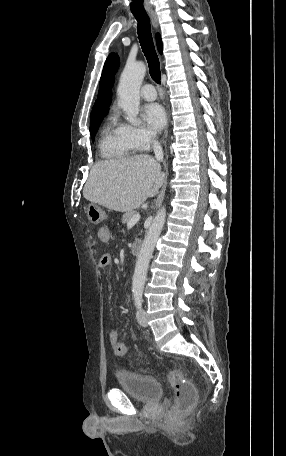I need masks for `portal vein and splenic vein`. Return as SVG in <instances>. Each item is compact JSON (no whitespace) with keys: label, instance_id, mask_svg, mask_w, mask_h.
Returning <instances> with one entry per match:
<instances>
[{"label":"portal vein and splenic vein","instance_id":"18ae733b","mask_svg":"<svg viewBox=\"0 0 286 456\" xmlns=\"http://www.w3.org/2000/svg\"><path fill=\"white\" fill-rule=\"evenodd\" d=\"M139 220H140V214L139 213L134 214L132 216V218L129 220L128 224L137 223Z\"/></svg>","mask_w":286,"mask_h":456}]
</instances>
